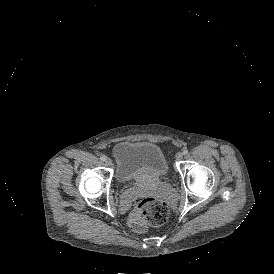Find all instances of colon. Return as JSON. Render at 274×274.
I'll return each mask as SVG.
<instances>
[{"label":"colon","instance_id":"colon-1","mask_svg":"<svg viewBox=\"0 0 274 274\" xmlns=\"http://www.w3.org/2000/svg\"><path fill=\"white\" fill-rule=\"evenodd\" d=\"M169 208L164 200L154 198L139 199L127 220L128 227L135 233H143L149 227H158L169 219Z\"/></svg>","mask_w":274,"mask_h":274}]
</instances>
